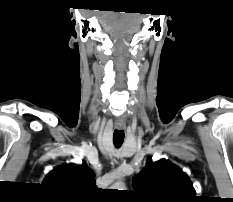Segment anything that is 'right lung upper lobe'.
<instances>
[{"instance_id": "1", "label": "right lung upper lobe", "mask_w": 233, "mask_h": 202, "mask_svg": "<svg viewBox=\"0 0 233 202\" xmlns=\"http://www.w3.org/2000/svg\"><path fill=\"white\" fill-rule=\"evenodd\" d=\"M43 184L57 192L73 195L85 194L96 188L95 173L85 163L55 167L47 174Z\"/></svg>"}]
</instances>
